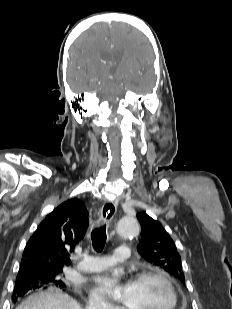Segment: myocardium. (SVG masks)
Instances as JSON below:
<instances>
[{
  "mask_svg": "<svg viewBox=\"0 0 232 309\" xmlns=\"http://www.w3.org/2000/svg\"><path fill=\"white\" fill-rule=\"evenodd\" d=\"M148 278H154L159 281H161L167 288L168 293L170 295V304L166 309H177L179 305V296L177 293V290L171 280L161 271L156 269H146L138 272L133 277V283L148 279Z\"/></svg>",
  "mask_w": 232,
  "mask_h": 309,
  "instance_id": "1",
  "label": "myocardium"
}]
</instances>
